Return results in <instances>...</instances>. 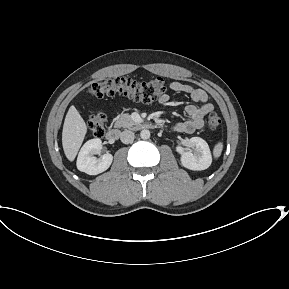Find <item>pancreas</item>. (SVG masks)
<instances>
[{
    "mask_svg": "<svg viewBox=\"0 0 289 289\" xmlns=\"http://www.w3.org/2000/svg\"><path fill=\"white\" fill-rule=\"evenodd\" d=\"M136 123L132 120L131 116L127 113L120 114L115 122V127L118 128H130Z\"/></svg>",
    "mask_w": 289,
    "mask_h": 289,
    "instance_id": "obj_1",
    "label": "pancreas"
}]
</instances>
